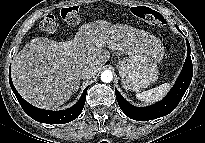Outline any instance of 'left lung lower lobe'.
I'll return each instance as SVG.
<instances>
[{
    "label": "left lung lower lobe",
    "mask_w": 205,
    "mask_h": 143,
    "mask_svg": "<svg viewBox=\"0 0 205 143\" xmlns=\"http://www.w3.org/2000/svg\"><path fill=\"white\" fill-rule=\"evenodd\" d=\"M176 28L179 30L177 26ZM186 41L188 50L184 67L174 87L163 100L148 107L138 108L127 102L118 92V90L115 89L117 102L126 116L137 121H148L166 116L177 107L187 88L189 87L193 75V66L190 56V44L188 40Z\"/></svg>",
    "instance_id": "0a47b994"
}]
</instances>
